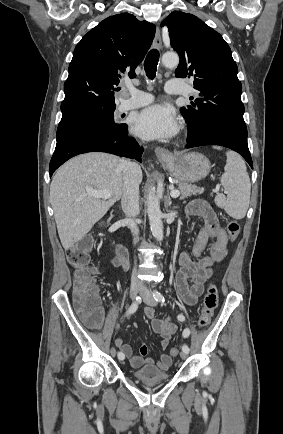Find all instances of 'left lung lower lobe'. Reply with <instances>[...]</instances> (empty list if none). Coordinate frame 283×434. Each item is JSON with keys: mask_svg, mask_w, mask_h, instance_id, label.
I'll return each mask as SVG.
<instances>
[{"mask_svg": "<svg viewBox=\"0 0 283 434\" xmlns=\"http://www.w3.org/2000/svg\"><path fill=\"white\" fill-rule=\"evenodd\" d=\"M187 148L204 146V145H218L227 147L239 153L253 168L252 158L247 144V136H243L236 132L219 130L213 131L196 139H188Z\"/></svg>", "mask_w": 283, "mask_h": 434, "instance_id": "1", "label": "left lung lower lobe"}]
</instances>
